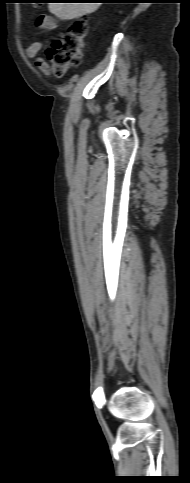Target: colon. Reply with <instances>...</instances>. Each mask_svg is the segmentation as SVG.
<instances>
[{
  "mask_svg": "<svg viewBox=\"0 0 190 483\" xmlns=\"http://www.w3.org/2000/svg\"><path fill=\"white\" fill-rule=\"evenodd\" d=\"M86 33L87 22L84 17L72 21L61 38L46 50L49 62L47 72L62 77L70 68L77 66L81 61Z\"/></svg>",
  "mask_w": 190,
  "mask_h": 483,
  "instance_id": "obj_1",
  "label": "colon"
}]
</instances>
